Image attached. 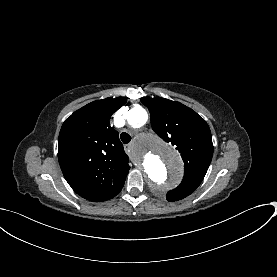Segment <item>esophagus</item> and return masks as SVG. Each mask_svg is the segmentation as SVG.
Returning <instances> with one entry per match:
<instances>
[{"label":"esophagus","instance_id":"1","mask_svg":"<svg viewBox=\"0 0 277 277\" xmlns=\"http://www.w3.org/2000/svg\"><path fill=\"white\" fill-rule=\"evenodd\" d=\"M134 164L138 167H141V162H139V161H135Z\"/></svg>","mask_w":277,"mask_h":277}]
</instances>
